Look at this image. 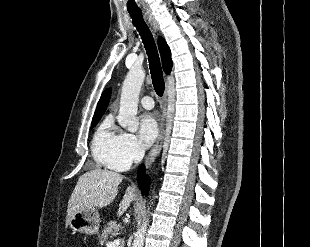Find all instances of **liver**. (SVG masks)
Returning a JSON list of instances; mask_svg holds the SVG:
<instances>
[{
    "label": "liver",
    "mask_w": 310,
    "mask_h": 247,
    "mask_svg": "<svg viewBox=\"0 0 310 247\" xmlns=\"http://www.w3.org/2000/svg\"><path fill=\"white\" fill-rule=\"evenodd\" d=\"M123 176L117 172L100 168L85 172L78 182L68 201L66 225L78 211L89 208H103L109 205L118 193V185ZM135 189L129 186L119 204L118 216H121L134 199Z\"/></svg>",
    "instance_id": "obj_1"
}]
</instances>
